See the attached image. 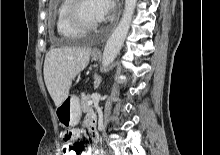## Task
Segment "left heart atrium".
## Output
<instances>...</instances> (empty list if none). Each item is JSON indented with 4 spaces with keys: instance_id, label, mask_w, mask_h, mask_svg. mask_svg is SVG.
Segmentation results:
<instances>
[{
    "instance_id": "left-heart-atrium-1",
    "label": "left heart atrium",
    "mask_w": 220,
    "mask_h": 155,
    "mask_svg": "<svg viewBox=\"0 0 220 155\" xmlns=\"http://www.w3.org/2000/svg\"><path fill=\"white\" fill-rule=\"evenodd\" d=\"M93 7L98 20L105 19L113 10V0H93Z\"/></svg>"
}]
</instances>
